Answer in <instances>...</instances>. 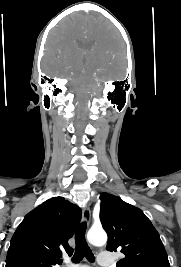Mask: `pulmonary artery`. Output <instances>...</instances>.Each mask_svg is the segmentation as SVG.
I'll return each instance as SVG.
<instances>
[{
  "label": "pulmonary artery",
  "mask_w": 181,
  "mask_h": 267,
  "mask_svg": "<svg viewBox=\"0 0 181 267\" xmlns=\"http://www.w3.org/2000/svg\"><path fill=\"white\" fill-rule=\"evenodd\" d=\"M97 262L101 267H111L113 260L109 255H107L105 253H101L98 256ZM69 267H88V266H86V265H70Z\"/></svg>",
  "instance_id": "pulmonary-artery-1"
}]
</instances>
